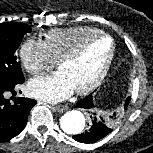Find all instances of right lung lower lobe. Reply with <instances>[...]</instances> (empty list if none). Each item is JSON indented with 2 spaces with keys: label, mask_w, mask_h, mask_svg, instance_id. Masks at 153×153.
I'll list each match as a JSON object with an SVG mask.
<instances>
[{
  "label": "right lung lower lobe",
  "mask_w": 153,
  "mask_h": 153,
  "mask_svg": "<svg viewBox=\"0 0 153 153\" xmlns=\"http://www.w3.org/2000/svg\"><path fill=\"white\" fill-rule=\"evenodd\" d=\"M23 82L24 79L14 83L0 80V142L13 138L25 128L29 111L37 103L24 97H12V101L5 98L6 92H14L15 86Z\"/></svg>",
  "instance_id": "1"
}]
</instances>
